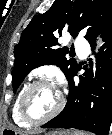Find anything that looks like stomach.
I'll return each mask as SVG.
<instances>
[{
	"instance_id": "obj_1",
	"label": "stomach",
	"mask_w": 112,
	"mask_h": 135,
	"mask_svg": "<svg viewBox=\"0 0 112 135\" xmlns=\"http://www.w3.org/2000/svg\"><path fill=\"white\" fill-rule=\"evenodd\" d=\"M19 134L15 129H12V128H4L2 131H0V135H17ZM45 135H76V133L74 132H57V131H54V132H49Z\"/></svg>"
}]
</instances>
